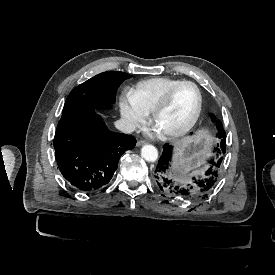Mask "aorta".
<instances>
[{"label": "aorta", "instance_id": "762f6f07", "mask_svg": "<svg viewBox=\"0 0 275 275\" xmlns=\"http://www.w3.org/2000/svg\"><path fill=\"white\" fill-rule=\"evenodd\" d=\"M141 155L147 162L154 163L158 159V150L152 145H145L141 150Z\"/></svg>", "mask_w": 275, "mask_h": 275}]
</instances>
